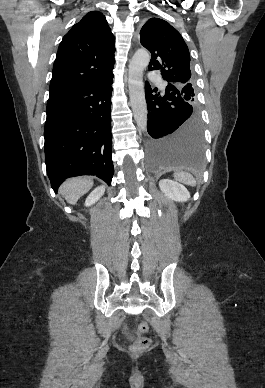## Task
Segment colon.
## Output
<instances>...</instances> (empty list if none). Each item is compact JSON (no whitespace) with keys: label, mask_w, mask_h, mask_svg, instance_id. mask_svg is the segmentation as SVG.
<instances>
[{"label":"colon","mask_w":265,"mask_h":388,"mask_svg":"<svg viewBox=\"0 0 265 388\" xmlns=\"http://www.w3.org/2000/svg\"><path fill=\"white\" fill-rule=\"evenodd\" d=\"M149 330V325L147 322L142 321L138 327H137V339L135 341V344L133 346V349L136 351H140L143 349H146L150 345V339L148 337H145L144 334H146Z\"/></svg>","instance_id":"5ec220e1"}]
</instances>
